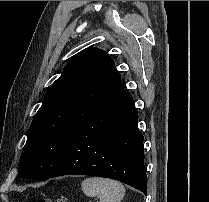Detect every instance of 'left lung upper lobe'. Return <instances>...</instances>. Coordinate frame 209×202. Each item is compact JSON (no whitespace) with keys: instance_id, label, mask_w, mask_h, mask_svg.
I'll return each mask as SVG.
<instances>
[{"instance_id":"5c2ea615","label":"left lung upper lobe","mask_w":209,"mask_h":202,"mask_svg":"<svg viewBox=\"0 0 209 202\" xmlns=\"http://www.w3.org/2000/svg\"><path fill=\"white\" fill-rule=\"evenodd\" d=\"M123 93L113 60L98 48L76 54L44 96L27 133L19 177L47 180L84 122Z\"/></svg>"}]
</instances>
